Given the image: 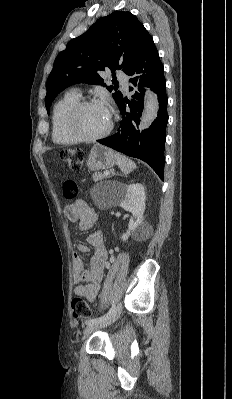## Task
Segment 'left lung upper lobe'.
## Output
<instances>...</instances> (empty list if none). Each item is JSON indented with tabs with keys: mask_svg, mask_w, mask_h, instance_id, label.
<instances>
[{
	"mask_svg": "<svg viewBox=\"0 0 232 399\" xmlns=\"http://www.w3.org/2000/svg\"><path fill=\"white\" fill-rule=\"evenodd\" d=\"M152 39L143 24L130 12L116 11L102 17L83 35L72 39L55 59L46 83L45 106L49 107L56 95L77 83L106 86L99 75L105 68L120 69L127 74L147 42ZM114 83V79L112 80ZM111 92L117 90L106 86ZM117 104L123 98L120 91L112 94Z\"/></svg>",
	"mask_w": 232,
	"mask_h": 399,
	"instance_id": "left-lung-upper-lobe-1",
	"label": "left lung upper lobe"
}]
</instances>
